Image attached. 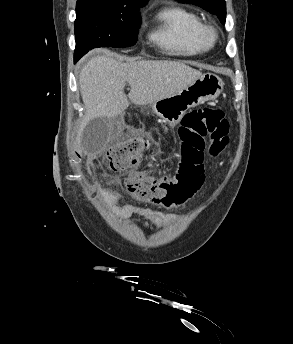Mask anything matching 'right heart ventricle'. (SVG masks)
Here are the masks:
<instances>
[{"mask_svg":"<svg viewBox=\"0 0 293 344\" xmlns=\"http://www.w3.org/2000/svg\"><path fill=\"white\" fill-rule=\"evenodd\" d=\"M204 26L195 12L181 6H168L157 12L148 38L168 54L198 55L212 45L204 36Z\"/></svg>","mask_w":293,"mask_h":344,"instance_id":"right-heart-ventricle-1","label":"right heart ventricle"}]
</instances>
